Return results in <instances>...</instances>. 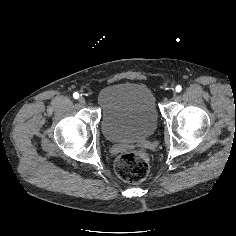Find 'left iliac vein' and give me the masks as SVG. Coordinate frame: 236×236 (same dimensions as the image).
I'll list each match as a JSON object with an SVG mask.
<instances>
[{"instance_id":"obj_1","label":"left iliac vein","mask_w":236,"mask_h":236,"mask_svg":"<svg viewBox=\"0 0 236 236\" xmlns=\"http://www.w3.org/2000/svg\"><path fill=\"white\" fill-rule=\"evenodd\" d=\"M177 93H172L171 95H170V98L172 99V100H175L176 98H177Z\"/></svg>"}]
</instances>
